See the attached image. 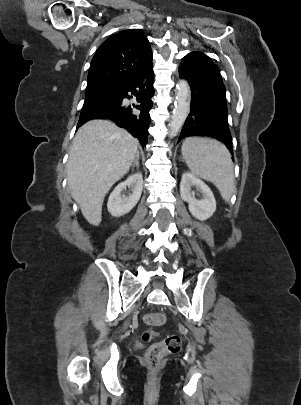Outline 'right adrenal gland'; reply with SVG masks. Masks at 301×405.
I'll return each mask as SVG.
<instances>
[{
	"label": "right adrenal gland",
	"mask_w": 301,
	"mask_h": 405,
	"mask_svg": "<svg viewBox=\"0 0 301 405\" xmlns=\"http://www.w3.org/2000/svg\"><path fill=\"white\" fill-rule=\"evenodd\" d=\"M135 166L137 168H139V151L138 150L136 152V156H135L134 162L132 164V169H134Z\"/></svg>",
	"instance_id": "obj_1"
}]
</instances>
